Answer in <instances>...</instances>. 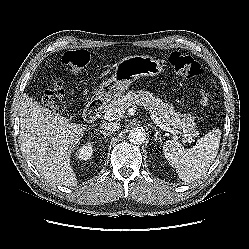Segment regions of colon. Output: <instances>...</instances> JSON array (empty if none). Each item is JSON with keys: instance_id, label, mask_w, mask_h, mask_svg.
Instances as JSON below:
<instances>
[{"instance_id": "5ec220e1", "label": "colon", "mask_w": 249, "mask_h": 249, "mask_svg": "<svg viewBox=\"0 0 249 249\" xmlns=\"http://www.w3.org/2000/svg\"><path fill=\"white\" fill-rule=\"evenodd\" d=\"M90 55L85 50H66L63 51L58 61L65 69L71 73H77L82 70L89 62ZM169 63L172 69L184 78H196L202 73L201 65L191 56L180 52H173L169 56ZM65 91L60 82H55L44 91L42 102L53 111L60 112L64 109ZM211 92L207 88H201L199 91L200 103L207 106L210 102Z\"/></svg>"}]
</instances>
